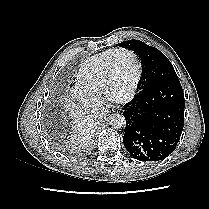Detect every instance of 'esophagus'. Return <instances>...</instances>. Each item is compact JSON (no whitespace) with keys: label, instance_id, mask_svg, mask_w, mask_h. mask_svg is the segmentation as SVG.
Listing matches in <instances>:
<instances>
[{"label":"esophagus","instance_id":"1","mask_svg":"<svg viewBox=\"0 0 209 209\" xmlns=\"http://www.w3.org/2000/svg\"><path fill=\"white\" fill-rule=\"evenodd\" d=\"M115 113H116V110H113V111H112V114H115Z\"/></svg>","mask_w":209,"mask_h":209}]
</instances>
